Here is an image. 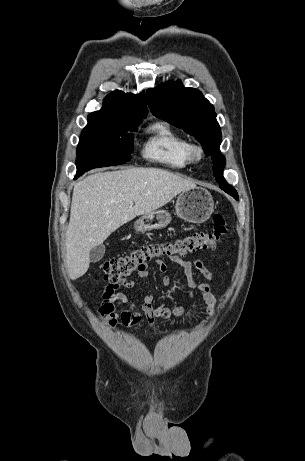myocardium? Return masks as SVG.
<instances>
[{"label": "myocardium", "mask_w": 305, "mask_h": 461, "mask_svg": "<svg viewBox=\"0 0 305 461\" xmlns=\"http://www.w3.org/2000/svg\"><path fill=\"white\" fill-rule=\"evenodd\" d=\"M190 155L193 160H200L204 155V150L198 144H191L190 145Z\"/></svg>", "instance_id": "1"}]
</instances>
